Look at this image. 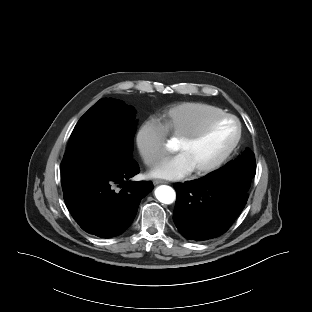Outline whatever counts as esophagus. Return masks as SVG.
Wrapping results in <instances>:
<instances>
[{"instance_id": "obj_1", "label": "esophagus", "mask_w": 312, "mask_h": 312, "mask_svg": "<svg viewBox=\"0 0 312 312\" xmlns=\"http://www.w3.org/2000/svg\"><path fill=\"white\" fill-rule=\"evenodd\" d=\"M154 185H158V184H168L167 181H164V180H154L153 181Z\"/></svg>"}]
</instances>
